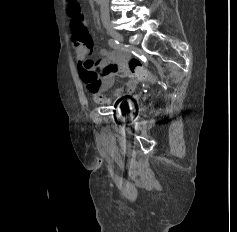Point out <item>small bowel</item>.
I'll return each instance as SVG.
<instances>
[{
	"label": "small bowel",
	"instance_id": "c3829d8e",
	"mask_svg": "<svg viewBox=\"0 0 237 232\" xmlns=\"http://www.w3.org/2000/svg\"><path fill=\"white\" fill-rule=\"evenodd\" d=\"M71 40L78 60V73L86 90L97 103H108L105 91L109 89L116 76L130 77L127 58L123 53L100 50L101 60L94 62L90 56L96 50L88 30L77 31L71 25ZM135 89V81L129 78L114 92V97L121 98Z\"/></svg>",
	"mask_w": 237,
	"mask_h": 232
}]
</instances>
